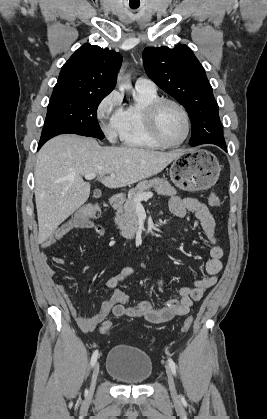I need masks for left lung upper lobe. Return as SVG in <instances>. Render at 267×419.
Here are the masks:
<instances>
[{
	"mask_svg": "<svg viewBox=\"0 0 267 419\" xmlns=\"http://www.w3.org/2000/svg\"><path fill=\"white\" fill-rule=\"evenodd\" d=\"M143 62L149 78L188 112L192 126L189 143L206 132H210L215 140L224 141L212 87L189 47L183 44L174 48L147 47L143 51Z\"/></svg>",
	"mask_w": 267,
	"mask_h": 419,
	"instance_id": "left-lung-upper-lobe-1",
	"label": "left lung upper lobe"
}]
</instances>
